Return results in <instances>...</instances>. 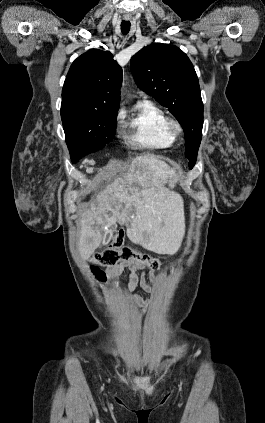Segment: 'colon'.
Listing matches in <instances>:
<instances>
[{
  "instance_id": "1",
  "label": "colon",
  "mask_w": 265,
  "mask_h": 423,
  "mask_svg": "<svg viewBox=\"0 0 265 423\" xmlns=\"http://www.w3.org/2000/svg\"><path fill=\"white\" fill-rule=\"evenodd\" d=\"M123 242L124 233L120 230L115 233L112 242L106 248L94 254L92 261L95 266L92 267V273L99 283L103 281L104 276L103 272L97 267L98 265L111 266L120 261H130L143 265L152 271H157L161 267L162 263L158 259L124 246Z\"/></svg>"
}]
</instances>
